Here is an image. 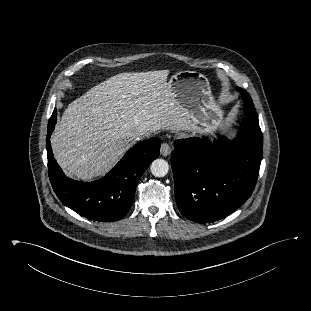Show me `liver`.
<instances>
[{"label": "liver", "instance_id": "6515ba94", "mask_svg": "<svg viewBox=\"0 0 311 311\" xmlns=\"http://www.w3.org/2000/svg\"><path fill=\"white\" fill-rule=\"evenodd\" d=\"M169 70L120 73L71 102L51 138L54 157L68 176L104 175L130 147L133 134L192 129L174 98Z\"/></svg>", "mask_w": 311, "mask_h": 311}]
</instances>
